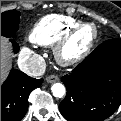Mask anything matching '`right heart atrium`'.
Listing matches in <instances>:
<instances>
[{
    "mask_svg": "<svg viewBox=\"0 0 121 121\" xmlns=\"http://www.w3.org/2000/svg\"><path fill=\"white\" fill-rule=\"evenodd\" d=\"M23 53H24V55H26V56H29V55H30V51H29V50H24Z\"/></svg>",
    "mask_w": 121,
    "mask_h": 121,
    "instance_id": "right-heart-atrium-1",
    "label": "right heart atrium"
}]
</instances>
